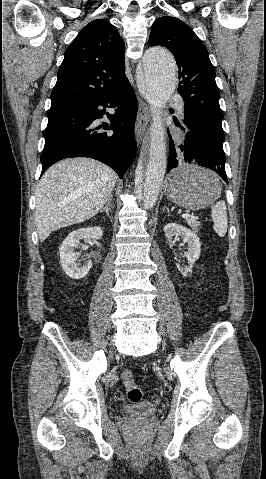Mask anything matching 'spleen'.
<instances>
[{"instance_id":"1","label":"spleen","mask_w":266,"mask_h":479,"mask_svg":"<svg viewBox=\"0 0 266 479\" xmlns=\"http://www.w3.org/2000/svg\"><path fill=\"white\" fill-rule=\"evenodd\" d=\"M211 216L214 222L213 229L219 237H224L227 232L228 220L224 201H218L211 208Z\"/></svg>"}]
</instances>
